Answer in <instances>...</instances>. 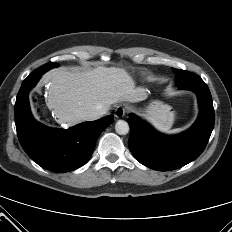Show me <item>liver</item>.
<instances>
[{
    "label": "liver",
    "mask_w": 232,
    "mask_h": 232,
    "mask_svg": "<svg viewBox=\"0 0 232 232\" xmlns=\"http://www.w3.org/2000/svg\"><path fill=\"white\" fill-rule=\"evenodd\" d=\"M50 83L47 105L59 124L74 126L86 121L89 112L107 111L118 102H139L147 89L136 87L130 74L119 67L99 66L90 70L58 68L46 73L42 83Z\"/></svg>",
    "instance_id": "obj_1"
}]
</instances>
